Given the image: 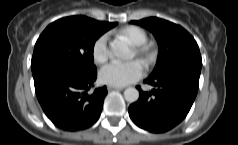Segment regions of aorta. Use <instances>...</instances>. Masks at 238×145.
Returning a JSON list of instances; mask_svg holds the SVG:
<instances>
[{
	"label": "aorta",
	"instance_id": "762f6f07",
	"mask_svg": "<svg viewBox=\"0 0 238 145\" xmlns=\"http://www.w3.org/2000/svg\"><path fill=\"white\" fill-rule=\"evenodd\" d=\"M110 48L111 53L117 58L129 60L134 56V53L129 48L128 44L122 40H114L111 42ZM124 98L127 102H136L139 99V91L136 88L129 87L124 91Z\"/></svg>",
	"mask_w": 238,
	"mask_h": 145
}]
</instances>
